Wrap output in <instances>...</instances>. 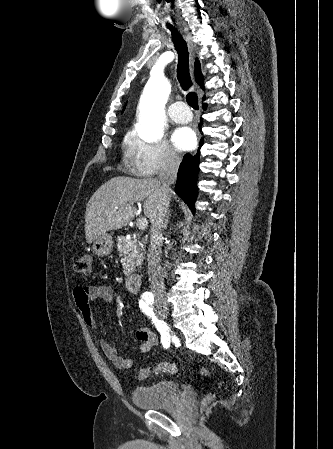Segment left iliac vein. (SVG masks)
<instances>
[{
  "mask_svg": "<svg viewBox=\"0 0 333 449\" xmlns=\"http://www.w3.org/2000/svg\"><path fill=\"white\" fill-rule=\"evenodd\" d=\"M155 311L158 313L159 316H161L163 319L166 318V313L162 310H157L155 309Z\"/></svg>",
  "mask_w": 333,
  "mask_h": 449,
  "instance_id": "left-iliac-vein-1",
  "label": "left iliac vein"
}]
</instances>
